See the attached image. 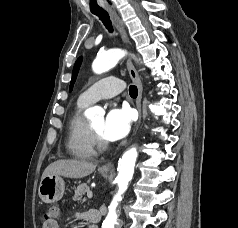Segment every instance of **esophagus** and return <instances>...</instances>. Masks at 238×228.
<instances>
[{
	"label": "esophagus",
	"mask_w": 238,
	"mask_h": 228,
	"mask_svg": "<svg viewBox=\"0 0 238 228\" xmlns=\"http://www.w3.org/2000/svg\"><path fill=\"white\" fill-rule=\"evenodd\" d=\"M108 12L115 24L120 36H121L122 41L127 44L129 42V39H128L127 32L125 30V26H124L122 19L119 17L117 12L113 8H109ZM127 68H128L129 75H130L131 79L136 84L137 89H138V96L136 99V107H137V110L139 113V118H138V122H137V125L135 128V130H136L140 124V121H141V99H142L143 87H142V83H141L140 77L138 75V72L136 71L131 59L127 60ZM113 167H114V164L109 162V163L104 164L102 168L105 170H112Z\"/></svg>",
	"instance_id": "obj_1"
}]
</instances>
